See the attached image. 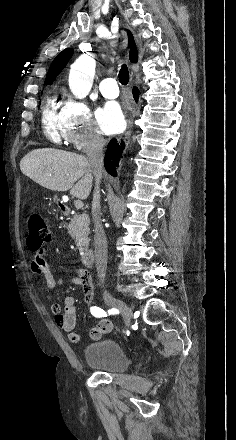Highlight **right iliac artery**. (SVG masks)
Instances as JSON below:
<instances>
[{
  "instance_id": "right-iliac-artery-1",
  "label": "right iliac artery",
  "mask_w": 236,
  "mask_h": 440,
  "mask_svg": "<svg viewBox=\"0 0 236 440\" xmlns=\"http://www.w3.org/2000/svg\"><path fill=\"white\" fill-rule=\"evenodd\" d=\"M90 312H91V314L93 316H95L97 318H101V317H106L107 316V313L103 309H101V308H99L97 306L91 307L90 308ZM108 314L109 315L113 314V310L112 309L108 310Z\"/></svg>"
}]
</instances>
